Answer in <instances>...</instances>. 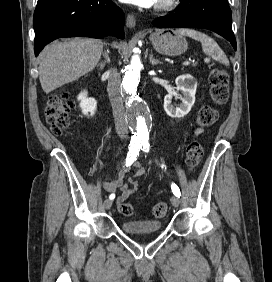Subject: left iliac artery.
I'll return each mask as SVG.
<instances>
[{"instance_id": "1", "label": "left iliac artery", "mask_w": 272, "mask_h": 282, "mask_svg": "<svg viewBox=\"0 0 272 282\" xmlns=\"http://www.w3.org/2000/svg\"><path fill=\"white\" fill-rule=\"evenodd\" d=\"M142 148H143V150H145L146 152H148V150H149L148 139H146V140L144 139V140L141 141V149H142ZM171 188H172L173 194H174L175 196H177L178 198H180L181 193H180V189L178 188V186L175 185V184H172V185H171Z\"/></svg>"}]
</instances>
